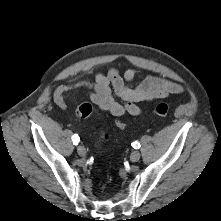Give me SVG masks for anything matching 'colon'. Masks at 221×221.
<instances>
[{"label": "colon", "instance_id": "5ec220e1", "mask_svg": "<svg viewBox=\"0 0 221 221\" xmlns=\"http://www.w3.org/2000/svg\"><path fill=\"white\" fill-rule=\"evenodd\" d=\"M94 109L91 104L89 103H83L80 106L77 107L75 110V117L78 119H85L88 118L92 113ZM153 113L160 118H166L169 114V106L165 103H160L156 105L153 109ZM113 127L114 128H120L124 129L126 127V124L122 122L121 119H114L113 120ZM109 137V134L107 132L102 133V139H107Z\"/></svg>", "mask_w": 221, "mask_h": 221}]
</instances>
